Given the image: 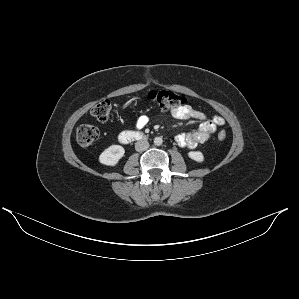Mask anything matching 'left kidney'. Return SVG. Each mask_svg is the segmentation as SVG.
Returning a JSON list of instances; mask_svg holds the SVG:
<instances>
[{"label": "left kidney", "instance_id": "1", "mask_svg": "<svg viewBox=\"0 0 299 299\" xmlns=\"http://www.w3.org/2000/svg\"><path fill=\"white\" fill-rule=\"evenodd\" d=\"M188 156L192 160L199 162V163L204 161V156L200 151H190V152H188Z\"/></svg>", "mask_w": 299, "mask_h": 299}]
</instances>
